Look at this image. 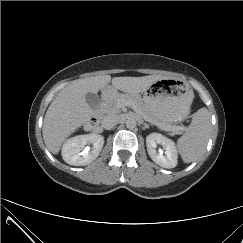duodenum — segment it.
<instances>
[{"instance_id": "obj_1", "label": "duodenum", "mask_w": 243, "mask_h": 243, "mask_svg": "<svg viewBox=\"0 0 243 243\" xmlns=\"http://www.w3.org/2000/svg\"><path fill=\"white\" fill-rule=\"evenodd\" d=\"M113 90L111 88H106L104 89V91L102 92V103H104L106 100H108V98L112 95ZM100 117H101V112L100 111H96L87 121L85 127L88 130H93L97 127V125L99 124L100 121Z\"/></svg>"}]
</instances>
